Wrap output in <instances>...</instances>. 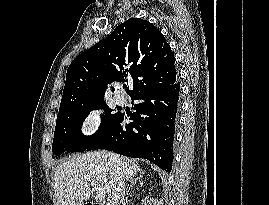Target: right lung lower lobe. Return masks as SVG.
<instances>
[{"instance_id":"obj_1","label":"right lung lower lobe","mask_w":269,"mask_h":205,"mask_svg":"<svg viewBox=\"0 0 269 205\" xmlns=\"http://www.w3.org/2000/svg\"><path fill=\"white\" fill-rule=\"evenodd\" d=\"M180 83L150 88L131 96L132 123L125 115L110 125L86 150L106 149L128 157L144 158L162 170L172 169L173 140L178 112Z\"/></svg>"}]
</instances>
